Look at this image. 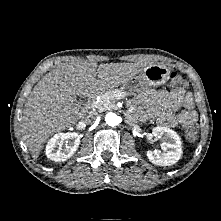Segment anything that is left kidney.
I'll return each mask as SVG.
<instances>
[{
    "instance_id": "5707ae66",
    "label": "left kidney",
    "mask_w": 221,
    "mask_h": 221,
    "mask_svg": "<svg viewBox=\"0 0 221 221\" xmlns=\"http://www.w3.org/2000/svg\"><path fill=\"white\" fill-rule=\"evenodd\" d=\"M155 138L163 140L161 149L148 150L146 155L148 159L158 166H170L175 164L181 157L182 147L179 135L172 129L166 127H155L152 130Z\"/></svg>"
}]
</instances>
